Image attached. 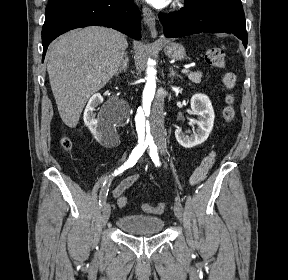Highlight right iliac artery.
<instances>
[{
  "label": "right iliac artery",
  "mask_w": 288,
  "mask_h": 280,
  "mask_svg": "<svg viewBox=\"0 0 288 280\" xmlns=\"http://www.w3.org/2000/svg\"><path fill=\"white\" fill-rule=\"evenodd\" d=\"M148 146V144L145 143H139L132 151L131 155L129 156V159L121 166L119 167L117 170L114 171V173L112 174L113 177L118 175L119 173H122L124 170H126V168H130L133 167L137 160L142 156L143 152L145 151V148ZM112 179H108L104 182L103 187L100 191V195H99V205L102 207L107 199V195H108V191H109V187L111 184Z\"/></svg>",
  "instance_id": "obj_1"
}]
</instances>
